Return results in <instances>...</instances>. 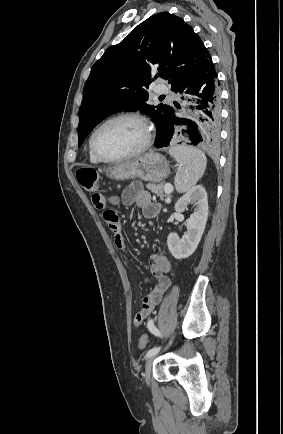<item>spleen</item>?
<instances>
[{
    "instance_id": "3e777b00",
    "label": "spleen",
    "mask_w": 283,
    "mask_h": 434,
    "mask_svg": "<svg viewBox=\"0 0 283 434\" xmlns=\"http://www.w3.org/2000/svg\"><path fill=\"white\" fill-rule=\"evenodd\" d=\"M169 152L179 165L174 182L176 190L187 192L203 176L207 158L201 150L186 145L175 146Z\"/></svg>"
}]
</instances>
